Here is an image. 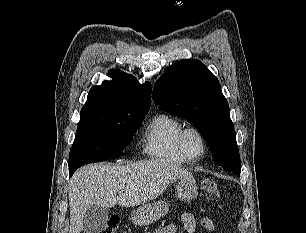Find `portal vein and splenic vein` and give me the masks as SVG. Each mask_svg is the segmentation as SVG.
<instances>
[{"instance_id":"obj_1","label":"portal vein and splenic vein","mask_w":306,"mask_h":233,"mask_svg":"<svg viewBox=\"0 0 306 233\" xmlns=\"http://www.w3.org/2000/svg\"><path fill=\"white\" fill-rule=\"evenodd\" d=\"M117 189H118V190H124V189H125V186H124V185L119 186Z\"/></svg>"}]
</instances>
